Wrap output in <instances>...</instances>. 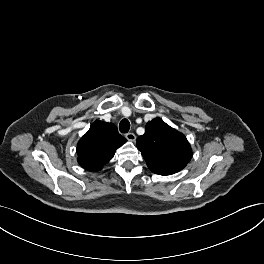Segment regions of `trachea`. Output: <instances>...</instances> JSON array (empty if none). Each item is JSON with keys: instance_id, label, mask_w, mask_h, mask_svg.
<instances>
[{"instance_id": "1", "label": "trachea", "mask_w": 264, "mask_h": 264, "mask_svg": "<svg viewBox=\"0 0 264 264\" xmlns=\"http://www.w3.org/2000/svg\"><path fill=\"white\" fill-rule=\"evenodd\" d=\"M130 129V122L127 119L121 120L119 130L121 133H127Z\"/></svg>"}]
</instances>
